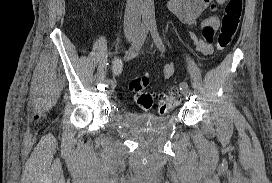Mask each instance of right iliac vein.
Instances as JSON below:
<instances>
[{
	"mask_svg": "<svg viewBox=\"0 0 272 183\" xmlns=\"http://www.w3.org/2000/svg\"><path fill=\"white\" fill-rule=\"evenodd\" d=\"M126 38L129 42H134L137 38V34L135 31H130L127 33ZM105 83H106V87H107L108 91L113 92V90L115 89V86H116V82L106 80Z\"/></svg>",
	"mask_w": 272,
	"mask_h": 183,
	"instance_id": "obj_1",
	"label": "right iliac vein"
}]
</instances>
